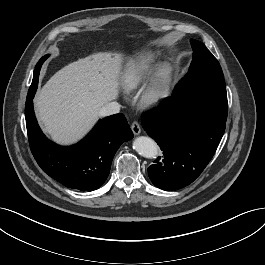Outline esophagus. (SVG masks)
<instances>
[{
  "label": "esophagus",
  "instance_id": "esophagus-1",
  "mask_svg": "<svg viewBox=\"0 0 265 265\" xmlns=\"http://www.w3.org/2000/svg\"><path fill=\"white\" fill-rule=\"evenodd\" d=\"M131 129L134 135H139L141 133V127L137 121H134L131 125Z\"/></svg>",
  "mask_w": 265,
  "mask_h": 265
}]
</instances>
